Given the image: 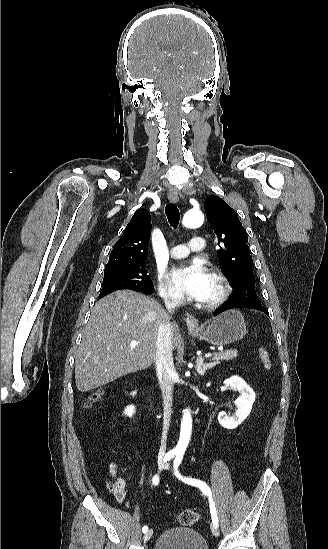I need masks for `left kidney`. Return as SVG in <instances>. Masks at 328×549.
Segmentation results:
<instances>
[{
	"label": "left kidney",
	"instance_id": "1",
	"mask_svg": "<svg viewBox=\"0 0 328 549\" xmlns=\"http://www.w3.org/2000/svg\"><path fill=\"white\" fill-rule=\"evenodd\" d=\"M224 385L239 391L240 397L234 401L236 407H238L234 415L228 417L224 411H221L218 415V421L225 429H236V427H238L240 423H243L244 419L248 417L255 401V393L241 377H230V379L224 381Z\"/></svg>",
	"mask_w": 328,
	"mask_h": 549
}]
</instances>
